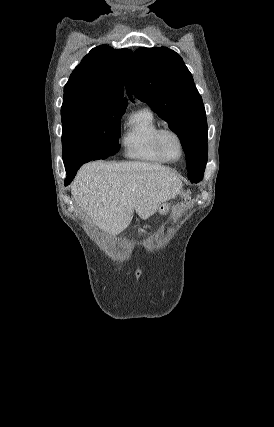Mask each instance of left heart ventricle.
Segmentation results:
<instances>
[{
	"instance_id": "left-heart-ventricle-1",
	"label": "left heart ventricle",
	"mask_w": 274,
	"mask_h": 427,
	"mask_svg": "<svg viewBox=\"0 0 274 427\" xmlns=\"http://www.w3.org/2000/svg\"><path fill=\"white\" fill-rule=\"evenodd\" d=\"M163 148L166 154L173 160H179L181 156V147L178 139L172 134L163 136Z\"/></svg>"
}]
</instances>
